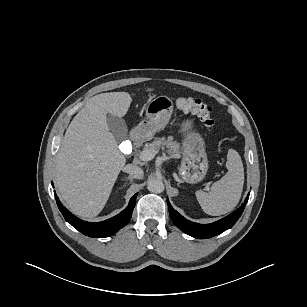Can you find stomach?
I'll list each match as a JSON object with an SVG mask.
<instances>
[{"instance_id":"0dacf381","label":"stomach","mask_w":307,"mask_h":307,"mask_svg":"<svg viewBox=\"0 0 307 307\" xmlns=\"http://www.w3.org/2000/svg\"><path fill=\"white\" fill-rule=\"evenodd\" d=\"M173 112V102L167 96H158L146 107V119L135 128L136 135L143 140H150L156 132L164 129ZM183 133V160L180 174L185 182L194 184L202 181L207 174L208 160L205 143L201 135L193 130L192 121L186 120L181 125Z\"/></svg>"}]
</instances>
